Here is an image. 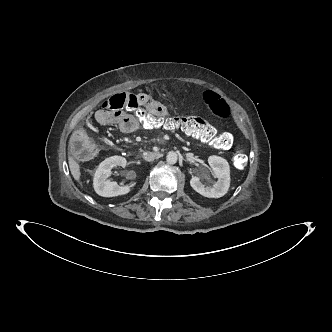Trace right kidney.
<instances>
[{
	"label": "right kidney",
	"mask_w": 332,
	"mask_h": 332,
	"mask_svg": "<svg viewBox=\"0 0 332 332\" xmlns=\"http://www.w3.org/2000/svg\"><path fill=\"white\" fill-rule=\"evenodd\" d=\"M127 161L122 156H111L102 161L93 179V186L95 192L103 197H114L119 195H125L130 192V186H120L117 182L110 181L108 177L112 174L111 170L115 166L125 167Z\"/></svg>",
	"instance_id": "ca27d5eb"
}]
</instances>
